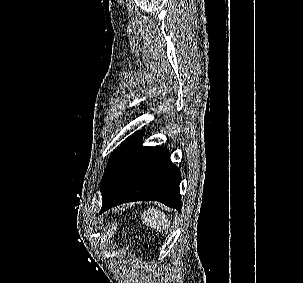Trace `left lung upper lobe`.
Instances as JSON below:
<instances>
[{
  "instance_id": "1",
  "label": "left lung upper lobe",
  "mask_w": 303,
  "mask_h": 283,
  "mask_svg": "<svg viewBox=\"0 0 303 283\" xmlns=\"http://www.w3.org/2000/svg\"><path fill=\"white\" fill-rule=\"evenodd\" d=\"M129 140V139H128ZM128 140H126L121 146H120V148H118L113 154H112V156H111V158H110V160H109V165H108V167H107V169H106V171H105V173H104V176H103V178H102V183H101V185L104 183V181L106 180V178H107V176H108V174H109V172H110V170H111V168H112V165H113V163L115 162V160H116V158H117V156H118V154H119V152L122 150V148L125 146V144L128 142Z\"/></svg>"
}]
</instances>
